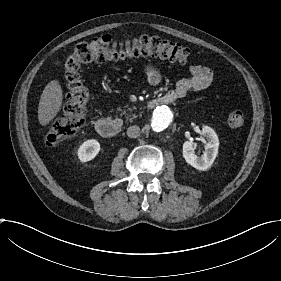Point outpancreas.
Masks as SVG:
<instances>
[{
    "mask_svg": "<svg viewBox=\"0 0 281 281\" xmlns=\"http://www.w3.org/2000/svg\"><path fill=\"white\" fill-rule=\"evenodd\" d=\"M136 110H137L136 108L130 109V111H132V112H133V111H136Z\"/></svg>",
    "mask_w": 281,
    "mask_h": 281,
    "instance_id": "cf45deb5",
    "label": "pancreas"
}]
</instances>
